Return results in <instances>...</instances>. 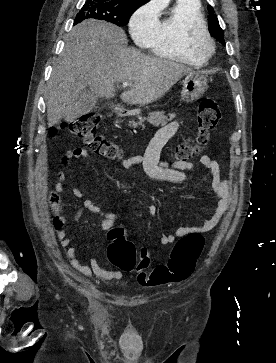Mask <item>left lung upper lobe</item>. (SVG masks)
Instances as JSON below:
<instances>
[{
    "mask_svg": "<svg viewBox=\"0 0 276 363\" xmlns=\"http://www.w3.org/2000/svg\"><path fill=\"white\" fill-rule=\"evenodd\" d=\"M207 8L211 14V16L208 19L209 31L212 36H214L221 44L224 45L225 41L223 38L224 36L223 30L221 29L218 23L217 17L213 14L214 10L211 6H208Z\"/></svg>",
    "mask_w": 276,
    "mask_h": 363,
    "instance_id": "obj_1",
    "label": "left lung upper lobe"
}]
</instances>
